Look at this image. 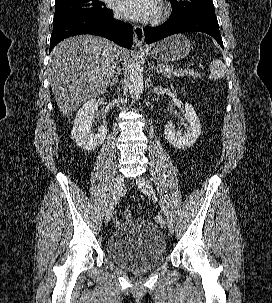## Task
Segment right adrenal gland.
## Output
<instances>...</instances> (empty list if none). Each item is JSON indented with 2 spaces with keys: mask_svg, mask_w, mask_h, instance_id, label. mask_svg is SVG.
Returning a JSON list of instances; mask_svg holds the SVG:
<instances>
[{
  "mask_svg": "<svg viewBox=\"0 0 272 303\" xmlns=\"http://www.w3.org/2000/svg\"><path fill=\"white\" fill-rule=\"evenodd\" d=\"M118 78H114L113 81L110 83V87L116 85Z\"/></svg>",
  "mask_w": 272,
  "mask_h": 303,
  "instance_id": "2a0ac1e0",
  "label": "right adrenal gland"
}]
</instances>
